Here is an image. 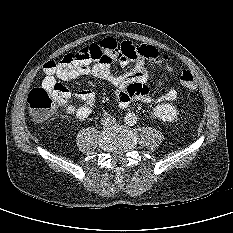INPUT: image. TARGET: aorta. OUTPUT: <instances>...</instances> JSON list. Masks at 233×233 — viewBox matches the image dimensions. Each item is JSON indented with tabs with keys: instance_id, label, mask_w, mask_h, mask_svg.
Here are the masks:
<instances>
[{
	"instance_id": "aorta-1",
	"label": "aorta",
	"mask_w": 233,
	"mask_h": 233,
	"mask_svg": "<svg viewBox=\"0 0 233 233\" xmlns=\"http://www.w3.org/2000/svg\"><path fill=\"white\" fill-rule=\"evenodd\" d=\"M124 122L127 125L132 126V125L136 124L137 116L134 113L129 112V113L125 114Z\"/></svg>"
}]
</instances>
